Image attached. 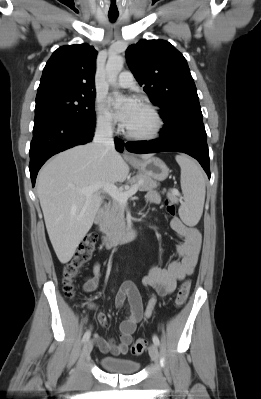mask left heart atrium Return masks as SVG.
<instances>
[{
  "instance_id": "left-heart-atrium-1",
  "label": "left heart atrium",
  "mask_w": 261,
  "mask_h": 399,
  "mask_svg": "<svg viewBox=\"0 0 261 399\" xmlns=\"http://www.w3.org/2000/svg\"><path fill=\"white\" fill-rule=\"evenodd\" d=\"M110 103L115 109L117 119L125 127L129 124L132 117L142 106L135 97H129L122 106H119L114 99H111Z\"/></svg>"
}]
</instances>
